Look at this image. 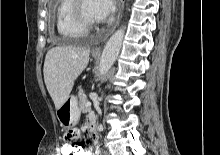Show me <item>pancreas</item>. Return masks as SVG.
I'll list each match as a JSON object with an SVG mask.
<instances>
[{
	"instance_id": "pancreas-1",
	"label": "pancreas",
	"mask_w": 220,
	"mask_h": 155,
	"mask_svg": "<svg viewBox=\"0 0 220 155\" xmlns=\"http://www.w3.org/2000/svg\"><path fill=\"white\" fill-rule=\"evenodd\" d=\"M78 98H79V107L80 110L83 113H86L90 110V107H86L85 104L88 102L87 96L85 95V93L83 91H80L78 93Z\"/></svg>"
}]
</instances>
